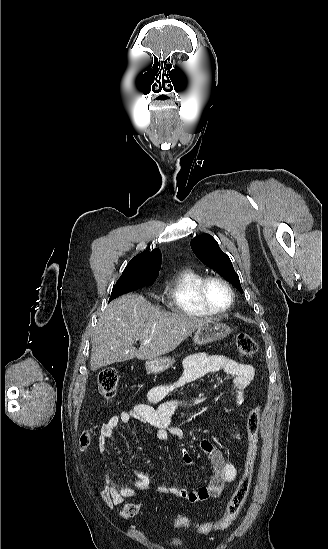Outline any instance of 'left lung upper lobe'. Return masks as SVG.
I'll return each instance as SVG.
<instances>
[{
  "mask_svg": "<svg viewBox=\"0 0 328 549\" xmlns=\"http://www.w3.org/2000/svg\"><path fill=\"white\" fill-rule=\"evenodd\" d=\"M191 248L202 263L219 273L243 292L239 276L235 272L230 258L219 247L217 241L209 234H202L191 240Z\"/></svg>",
  "mask_w": 328,
  "mask_h": 549,
  "instance_id": "1",
  "label": "left lung upper lobe"
}]
</instances>
